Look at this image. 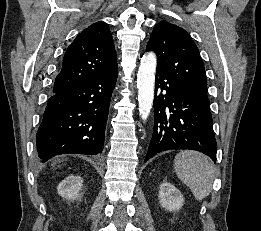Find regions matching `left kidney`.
Returning a JSON list of instances; mask_svg holds the SVG:
<instances>
[{"label":"left kidney","instance_id":"obj_1","mask_svg":"<svg viewBox=\"0 0 261 231\" xmlns=\"http://www.w3.org/2000/svg\"><path fill=\"white\" fill-rule=\"evenodd\" d=\"M159 202L167 211H177L184 203L181 192L172 184L163 182L159 187Z\"/></svg>","mask_w":261,"mask_h":231}]
</instances>
